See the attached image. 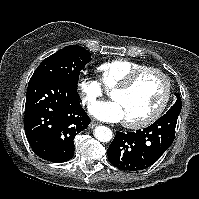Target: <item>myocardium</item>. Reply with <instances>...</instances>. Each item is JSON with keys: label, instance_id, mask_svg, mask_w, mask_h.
Segmentation results:
<instances>
[{"label": "myocardium", "instance_id": "obj_1", "mask_svg": "<svg viewBox=\"0 0 199 199\" xmlns=\"http://www.w3.org/2000/svg\"><path fill=\"white\" fill-rule=\"evenodd\" d=\"M147 73H155L164 80L165 83L164 95L158 106L154 109V111L145 118L136 121L125 120L124 125L128 128L138 129L151 125L162 115V113L164 112L169 103L172 92L171 80L164 71L156 67H144L137 71H134L122 83L113 87L112 92L114 91L125 92L130 90Z\"/></svg>", "mask_w": 199, "mask_h": 199}]
</instances>
